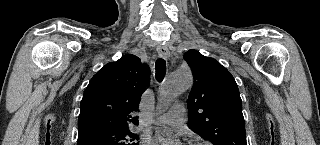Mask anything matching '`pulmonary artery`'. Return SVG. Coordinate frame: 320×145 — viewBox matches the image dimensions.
<instances>
[{
  "mask_svg": "<svg viewBox=\"0 0 320 145\" xmlns=\"http://www.w3.org/2000/svg\"><path fill=\"white\" fill-rule=\"evenodd\" d=\"M185 120V107L182 104L174 105L167 113L159 116L155 123L160 126L177 127Z\"/></svg>",
  "mask_w": 320,
  "mask_h": 145,
  "instance_id": "e3ab8cb5",
  "label": "pulmonary artery"
}]
</instances>
